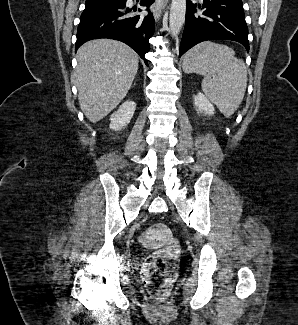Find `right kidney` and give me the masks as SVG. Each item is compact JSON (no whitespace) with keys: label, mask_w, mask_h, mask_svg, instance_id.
<instances>
[{"label":"right kidney","mask_w":298,"mask_h":325,"mask_svg":"<svg viewBox=\"0 0 298 325\" xmlns=\"http://www.w3.org/2000/svg\"><path fill=\"white\" fill-rule=\"evenodd\" d=\"M136 108V102L134 100H126L123 104H120L118 110L113 112L112 116H110V124L109 128H113V130H121V128H125L127 124H129Z\"/></svg>","instance_id":"ca27d5eb"}]
</instances>
